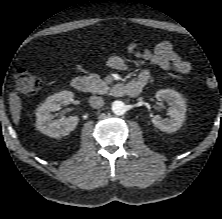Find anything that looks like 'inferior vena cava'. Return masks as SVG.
<instances>
[{
    "instance_id": "obj_1",
    "label": "inferior vena cava",
    "mask_w": 222,
    "mask_h": 219,
    "mask_svg": "<svg viewBox=\"0 0 222 219\" xmlns=\"http://www.w3.org/2000/svg\"><path fill=\"white\" fill-rule=\"evenodd\" d=\"M89 103L92 108H99L104 105V100L100 96H91L89 98Z\"/></svg>"
}]
</instances>
